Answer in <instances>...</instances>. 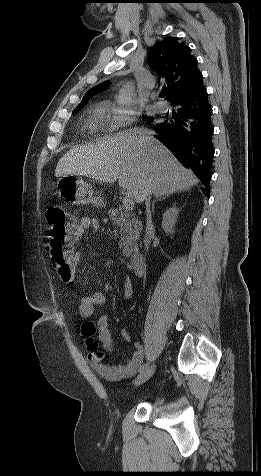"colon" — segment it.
<instances>
[{
	"mask_svg": "<svg viewBox=\"0 0 261 476\" xmlns=\"http://www.w3.org/2000/svg\"><path fill=\"white\" fill-rule=\"evenodd\" d=\"M47 251L58 275L66 283H72L74 267L71 265L72 242L75 238L77 223L60 204H52L46 210ZM83 333L88 338V346L95 349L96 343L90 337L92 325L84 323Z\"/></svg>",
	"mask_w": 261,
	"mask_h": 476,
	"instance_id": "obj_1",
	"label": "colon"
}]
</instances>
